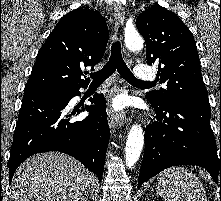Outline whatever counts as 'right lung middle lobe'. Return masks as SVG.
Masks as SVG:
<instances>
[{"instance_id": "right-lung-middle-lobe-1", "label": "right lung middle lobe", "mask_w": 221, "mask_h": 201, "mask_svg": "<svg viewBox=\"0 0 221 201\" xmlns=\"http://www.w3.org/2000/svg\"><path fill=\"white\" fill-rule=\"evenodd\" d=\"M34 90H40V91H54V90H46V89H34Z\"/></svg>"}]
</instances>
